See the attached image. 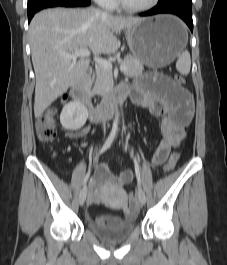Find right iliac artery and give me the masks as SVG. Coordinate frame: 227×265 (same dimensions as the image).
<instances>
[{
  "instance_id": "obj_1",
  "label": "right iliac artery",
  "mask_w": 227,
  "mask_h": 265,
  "mask_svg": "<svg viewBox=\"0 0 227 265\" xmlns=\"http://www.w3.org/2000/svg\"><path fill=\"white\" fill-rule=\"evenodd\" d=\"M117 130H118V125L117 123H114L113 124V127H112V130L108 136V138L106 139L103 147L101 148L99 154L96 156L95 160L94 161H97L98 160V157L100 154H102L103 152H105L112 144L114 138H115V135L117 133ZM89 175H90V171L86 174V176L84 177V180H83V186L85 187L88 179H89Z\"/></svg>"
}]
</instances>
